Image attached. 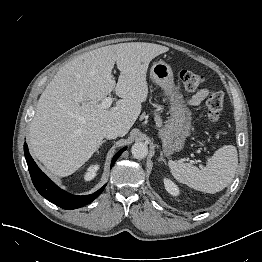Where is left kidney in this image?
Returning a JSON list of instances; mask_svg holds the SVG:
<instances>
[{
    "instance_id": "obj_1",
    "label": "left kidney",
    "mask_w": 262,
    "mask_h": 262,
    "mask_svg": "<svg viewBox=\"0 0 262 262\" xmlns=\"http://www.w3.org/2000/svg\"><path fill=\"white\" fill-rule=\"evenodd\" d=\"M165 189L173 196H177L179 194V189L177 186L168 178H164Z\"/></svg>"
}]
</instances>
